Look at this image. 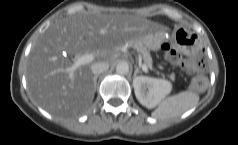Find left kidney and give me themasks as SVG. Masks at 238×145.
Segmentation results:
<instances>
[{"label": "left kidney", "instance_id": "1", "mask_svg": "<svg viewBox=\"0 0 238 145\" xmlns=\"http://www.w3.org/2000/svg\"><path fill=\"white\" fill-rule=\"evenodd\" d=\"M137 100L145 107L154 108L172 90V84L165 79L137 76L133 79Z\"/></svg>", "mask_w": 238, "mask_h": 145}]
</instances>
